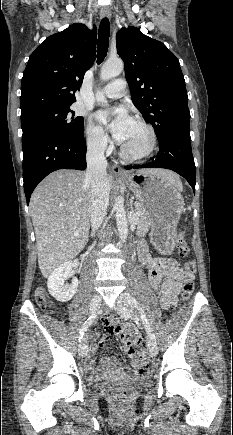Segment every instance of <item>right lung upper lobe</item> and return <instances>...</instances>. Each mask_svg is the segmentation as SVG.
Segmentation results:
<instances>
[{
    "label": "right lung upper lobe",
    "instance_id": "cb5924a9",
    "mask_svg": "<svg viewBox=\"0 0 233 435\" xmlns=\"http://www.w3.org/2000/svg\"><path fill=\"white\" fill-rule=\"evenodd\" d=\"M96 39L95 25L90 30L75 23L34 50L21 82V116L76 101L84 73L95 61Z\"/></svg>",
    "mask_w": 233,
    "mask_h": 435
}]
</instances>
